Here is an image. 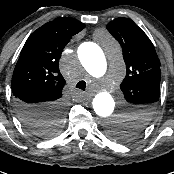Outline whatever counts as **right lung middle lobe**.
Segmentation results:
<instances>
[{
	"label": "right lung middle lobe",
	"instance_id": "obj_1",
	"mask_svg": "<svg viewBox=\"0 0 174 174\" xmlns=\"http://www.w3.org/2000/svg\"><path fill=\"white\" fill-rule=\"evenodd\" d=\"M29 130L36 135L52 136L57 133L61 125V113H55L50 120L26 122Z\"/></svg>",
	"mask_w": 174,
	"mask_h": 174
}]
</instances>
